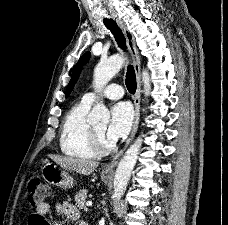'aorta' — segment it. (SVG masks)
Listing matches in <instances>:
<instances>
[{"label": "aorta", "instance_id": "obj_1", "mask_svg": "<svg viewBox=\"0 0 228 225\" xmlns=\"http://www.w3.org/2000/svg\"><path fill=\"white\" fill-rule=\"evenodd\" d=\"M125 60L126 58L120 56V54H112V56L107 58V60H100L99 64L95 66L93 74V84L96 90L103 88V86H105V84H107V82H109V80L119 72ZM142 80L144 82L145 96H147L150 90V78L147 70H143ZM87 123H89V125H97V123H105V125H108V123H110L109 110L106 108L105 104H103L102 100L93 106L90 115L87 117ZM141 147L142 139H136L133 145L127 149L120 163H118L113 181L114 201H120L122 195H124L126 187L130 181L131 173L136 165Z\"/></svg>", "mask_w": 228, "mask_h": 225}]
</instances>
